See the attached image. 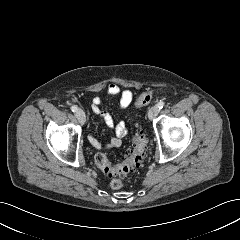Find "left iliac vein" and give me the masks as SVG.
Instances as JSON below:
<instances>
[{"mask_svg": "<svg viewBox=\"0 0 240 240\" xmlns=\"http://www.w3.org/2000/svg\"><path fill=\"white\" fill-rule=\"evenodd\" d=\"M159 114V108L158 106H153L148 111V118L150 120L154 119Z\"/></svg>", "mask_w": 240, "mask_h": 240, "instance_id": "obj_1", "label": "left iliac vein"}]
</instances>
